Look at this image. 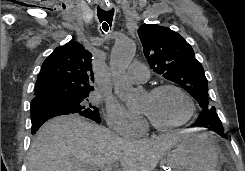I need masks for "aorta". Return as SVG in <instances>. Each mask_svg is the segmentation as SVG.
I'll return each instance as SVG.
<instances>
[{
  "label": "aorta",
  "mask_w": 245,
  "mask_h": 171,
  "mask_svg": "<svg viewBox=\"0 0 245 171\" xmlns=\"http://www.w3.org/2000/svg\"><path fill=\"white\" fill-rule=\"evenodd\" d=\"M136 51L135 42L130 38L116 41L109 57V66L115 78V93L123 100L130 111H139L144 93L123 81V76L131 64Z\"/></svg>",
  "instance_id": "1"
}]
</instances>
